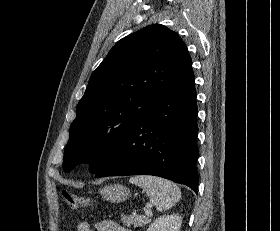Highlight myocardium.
<instances>
[{"label":"myocardium","mask_w":280,"mask_h":231,"mask_svg":"<svg viewBox=\"0 0 280 231\" xmlns=\"http://www.w3.org/2000/svg\"><path fill=\"white\" fill-rule=\"evenodd\" d=\"M97 154L98 152L96 150H92L87 154L86 158L88 161H93L97 157Z\"/></svg>","instance_id":"obj_1"}]
</instances>
